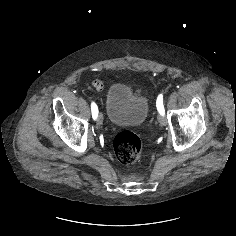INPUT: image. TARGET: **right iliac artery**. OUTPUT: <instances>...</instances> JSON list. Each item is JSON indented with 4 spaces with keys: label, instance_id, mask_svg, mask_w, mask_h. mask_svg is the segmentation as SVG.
<instances>
[{
    "label": "right iliac artery",
    "instance_id": "right-iliac-artery-1",
    "mask_svg": "<svg viewBox=\"0 0 236 236\" xmlns=\"http://www.w3.org/2000/svg\"><path fill=\"white\" fill-rule=\"evenodd\" d=\"M91 111L93 119H96L98 116V107L94 102L91 103Z\"/></svg>",
    "mask_w": 236,
    "mask_h": 236
}]
</instances>
